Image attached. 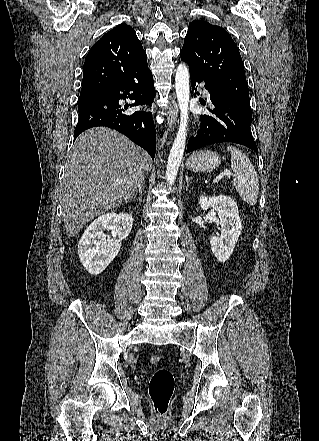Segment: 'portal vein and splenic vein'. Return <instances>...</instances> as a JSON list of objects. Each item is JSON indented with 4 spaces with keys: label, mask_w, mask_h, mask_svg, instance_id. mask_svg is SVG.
I'll use <instances>...</instances> for the list:
<instances>
[{
    "label": "portal vein and splenic vein",
    "mask_w": 319,
    "mask_h": 441,
    "mask_svg": "<svg viewBox=\"0 0 319 441\" xmlns=\"http://www.w3.org/2000/svg\"><path fill=\"white\" fill-rule=\"evenodd\" d=\"M226 175H228V176H233L232 173H229L228 171H224V172H222L221 174H219V175L214 179L213 183L218 182L219 180H221L222 177H224V176H226ZM121 182H122L121 180H117V183H121Z\"/></svg>",
    "instance_id": "obj_1"
}]
</instances>
